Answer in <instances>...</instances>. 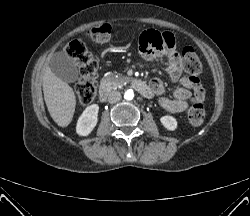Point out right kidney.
<instances>
[{
  "label": "right kidney",
  "mask_w": 250,
  "mask_h": 216,
  "mask_svg": "<svg viewBox=\"0 0 250 216\" xmlns=\"http://www.w3.org/2000/svg\"><path fill=\"white\" fill-rule=\"evenodd\" d=\"M99 106L92 104L88 106L79 117L76 132L80 136H88L98 122Z\"/></svg>",
  "instance_id": "ca27d5eb"
}]
</instances>
